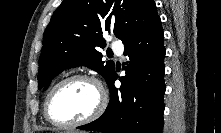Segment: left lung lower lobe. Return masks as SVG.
Returning a JSON list of instances; mask_svg holds the SVG:
<instances>
[{"label":"left lung lower lobe","mask_w":221,"mask_h":133,"mask_svg":"<svg viewBox=\"0 0 221 133\" xmlns=\"http://www.w3.org/2000/svg\"><path fill=\"white\" fill-rule=\"evenodd\" d=\"M126 75L120 78L121 87L114 82V70L107 82L110 101L97 120L77 127L103 133H161L165 93L164 34L160 17L149 27L124 43Z\"/></svg>","instance_id":"obj_1"}]
</instances>
